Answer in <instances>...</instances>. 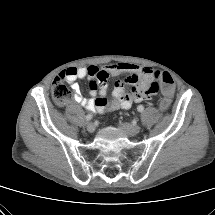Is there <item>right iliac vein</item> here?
<instances>
[{
  "instance_id": "right-iliac-vein-1",
  "label": "right iliac vein",
  "mask_w": 215,
  "mask_h": 215,
  "mask_svg": "<svg viewBox=\"0 0 215 215\" xmlns=\"http://www.w3.org/2000/svg\"><path fill=\"white\" fill-rule=\"evenodd\" d=\"M95 129H96V126L93 123L87 124V130H88V132L92 133V132L95 131Z\"/></svg>"
}]
</instances>
